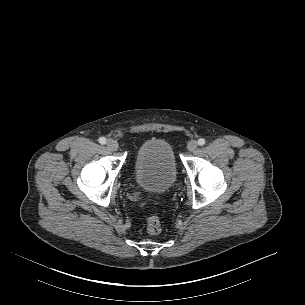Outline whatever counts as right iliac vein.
Listing matches in <instances>:
<instances>
[{"instance_id":"63e3f726","label":"right iliac vein","mask_w":305,"mask_h":305,"mask_svg":"<svg viewBox=\"0 0 305 305\" xmlns=\"http://www.w3.org/2000/svg\"><path fill=\"white\" fill-rule=\"evenodd\" d=\"M106 146L111 150V151H116L118 149V144L116 141L109 139L106 142Z\"/></svg>"}]
</instances>
